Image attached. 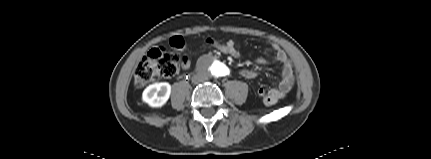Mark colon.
<instances>
[{
  "mask_svg": "<svg viewBox=\"0 0 431 159\" xmlns=\"http://www.w3.org/2000/svg\"><path fill=\"white\" fill-rule=\"evenodd\" d=\"M170 43L174 50L168 51L161 47L153 48L138 63L134 72V86L136 88H143L155 80L170 78L177 73L181 61L178 51L184 47L185 43L181 37L172 38ZM219 52L235 54L231 47L229 51ZM255 92L259 97L266 94L265 88L255 89Z\"/></svg>",
  "mask_w": 431,
  "mask_h": 159,
  "instance_id": "obj_1",
  "label": "colon"
}]
</instances>
